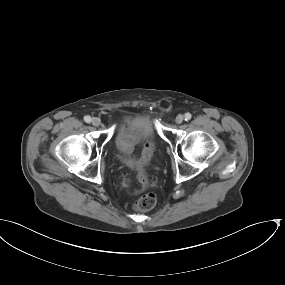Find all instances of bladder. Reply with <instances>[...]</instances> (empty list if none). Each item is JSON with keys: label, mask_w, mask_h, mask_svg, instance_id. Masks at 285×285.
Returning a JSON list of instances; mask_svg holds the SVG:
<instances>
[{"label": "bladder", "mask_w": 285, "mask_h": 285, "mask_svg": "<svg viewBox=\"0 0 285 285\" xmlns=\"http://www.w3.org/2000/svg\"><path fill=\"white\" fill-rule=\"evenodd\" d=\"M124 133L127 137H150L153 140V127L147 116H139L131 120L126 126ZM114 143L118 150L119 157L123 163L130 167H134L137 163V155L134 147H125L121 142V130L114 134Z\"/></svg>", "instance_id": "bladder-1"}]
</instances>
